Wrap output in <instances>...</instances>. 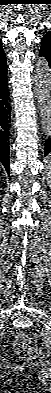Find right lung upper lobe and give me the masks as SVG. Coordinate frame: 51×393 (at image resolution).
<instances>
[{"label": "right lung upper lobe", "instance_id": "obj_1", "mask_svg": "<svg viewBox=\"0 0 51 393\" xmlns=\"http://www.w3.org/2000/svg\"><path fill=\"white\" fill-rule=\"evenodd\" d=\"M7 69V62L4 50L2 48V40L0 39V73Z\"/></svg>", "mask_w": 51, "mask_h": 393}]
</instances>
